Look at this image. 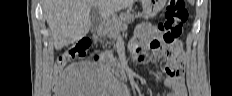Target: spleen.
<instances>
[{
    "label": "spleen",
    "mask_w": 232,
    "mask_h": 96,
    "mask_svg": "<svg viewBox=\"0 0 232 96\" xmlns=\"http://www.w3.org/2000/svg\"><path fill=\"white\" fill-rule=\"evenodd\" d=\"M190 2H191L192 4L194 3V1H193V0H191Z\"/></svg>",
    "instance_id": "3e777b00"
}]
</instances>
